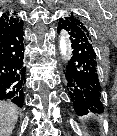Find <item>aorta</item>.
Segmentation results:
<instances>
[{
    "mask_svg": "<svg viewBox=\"0 0 117 136\" xmlns=\"http://www.w3.org/2000/svg\"><path fill=\"white\" fill-rule=\"evenodd\" d=\"M59 50L63 58L67 57V51H68V42L67 37L63 32H61L59 36Z\"/></svg>",
    "mask_w": 117,
    "mask_h": 136,
    "instance_id": "aorta-1",
    "label": "aorta"
}]
</instances>
